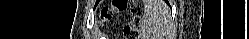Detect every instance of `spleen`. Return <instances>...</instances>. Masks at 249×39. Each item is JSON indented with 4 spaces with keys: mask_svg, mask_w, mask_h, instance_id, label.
<instances>
[{
    "mask_svg": "<svg viewBox=\"0 0 249 39\" xmlns=\"http://www.w3.org/2000/svg\"><path fill=\"white\" fill-rule=\"evenodd\" d=\"M141 23L143 39H168L170 35L169 9L163 0L144 1Z\"/></svg>",
    "mask_w": 249,
    "mask_h": 39,
    "instance_id": "obj_1",
    "label": "spleen"
}]
</instances>
